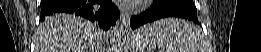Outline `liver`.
Listing matches in <instances>:
<instances>
[{
	"label": "liver",
	"instance_id": "1",
	"mask_svg": "<svg viewBox=\"0 0 261 52\" xmlns=\"http://www.w3.org/2000/svg\"><path fill=\"white\" fill-rule=\"evenodd\" d=\"M97 24L70 14L46 17L35 37V52H102Z\"/></svg>",
	"mask_w": 261,
	"mask_h": 52
}]
</instances>
